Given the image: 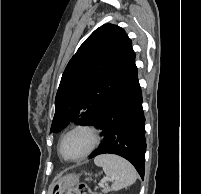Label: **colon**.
<instances>
[{
    "mask_svg": "<svg viewBox=\"0 0 201 194\" xmlns=\"http://www.w3.org/2000/svg\"><path fill=\"white\" fill-rule=\"evenodd\" d=\"M66 194H100L92 191L86 184L80 183L75 187L70 188Z\"/></svg>",
    "mask_w": 201,
    "mask_h": 194,
    "instance_id": "obj_1",
    "label": "colon"
}]
</instances>
